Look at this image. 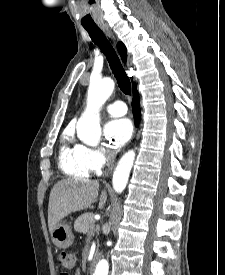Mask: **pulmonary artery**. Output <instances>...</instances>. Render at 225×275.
Listing matches in <instances>:
<instances>
[{"label": "pulmonary artery", "mask_w": 225, "mask_h": 275, "mask_svg": "<svg viewBox=\"0 0 225 275\" xmlns=\"http://www.w3.org/2000/svg\"><path fill=\"white\" fill-rule=\"evenodd\" d=\"M105 111L111 116H122L127 112V106L122 101H115L106 105Z\"/></svg>", "instance_id": "obj_1"}]
</instances>
